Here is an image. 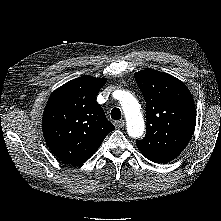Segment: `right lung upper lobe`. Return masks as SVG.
Masks as SVG:
<instances>
[{"instance_id": "right-lung-upper-lobe-1", "label": "right lung upper lobe", "mask_w": 221, "mask_h": 221, "mask_svg": "<svg viewBox=\"0 0 221 221\" xmlns=\"http://www.w3.org/2000/svg\"><path fill=\"white\" fill-rule=\"evenodd\" d=\"M106 81L84 75L51 94L43 113V134L50 150L65 163L86 162L115 129L96 102Z\"/></svg>"}]
</instances>
